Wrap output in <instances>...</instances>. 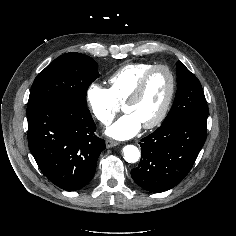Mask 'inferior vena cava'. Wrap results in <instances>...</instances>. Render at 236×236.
Wrapping results in <instances>:
<instances>
[{"label": "inferior vena cava", "instance_id": "obj_1", "mask_svg": "<svg viewBox=\"0 0 236 236\" xmlns=\"http://www.w3.org/2000/svg\"><path fill=\"white\" fill-rule=\"evenodd\" d=\"M104 123H105L106 125H109V124L111 123V121H110V120H105Z\"/></svg>", "mask_w": 236, "mask_h": 236}]
</instances>
